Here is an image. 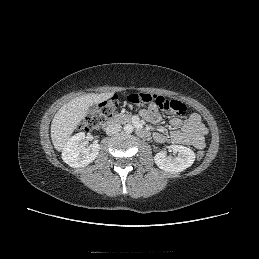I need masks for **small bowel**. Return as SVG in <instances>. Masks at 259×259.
I'll return each instance as SVG.
<instances>
[{
	"label": "small bowel",
	"instance_id": "obj_1",
	"mask_svg": "<svg viewBox=\"0 0 259 259\" xmlns=\"http://www.w3.org/2000/svg\"><path fill=\"white\" fill-rule=\"evenodd\" d=\"M140 115L143 119L152 123H157L161 119L158 109L154 105H150L147 109L141 110ZM170 126L172 130L169 135L162 131L154 133L156 142L164 143L170 141L176 144L190 145L197 149L205 147L207 128L199 114L192 113L185 119L173 117L170 120Z\"/></svg>",
	"mask_w": 259,
	"mask_h": 259
}]
</instances>
